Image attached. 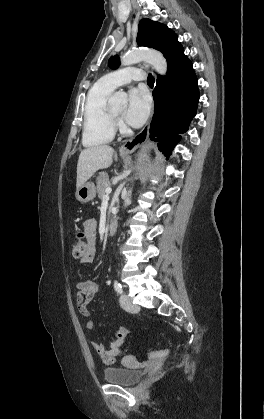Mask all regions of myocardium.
I'll return each instance as SVG.
<instances>
[{
    "label": "myocardium",
    "mask_w": 264,
    "mask_h": 419,
    "mask_svg": "<svg viewBox=\"0 0 264 419\" xmlns=\"http://www.w3.org/2000/svg\"><path fill=\"white\" fill-rule=\"evenodd\" d=\"M111 115L113 116V118L115 120H117L119 118V114L115 113L112 109H110Z\"/></svg>",
    "instance_id": "obj_1"
}]
</instances>
